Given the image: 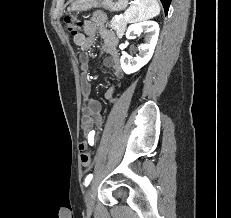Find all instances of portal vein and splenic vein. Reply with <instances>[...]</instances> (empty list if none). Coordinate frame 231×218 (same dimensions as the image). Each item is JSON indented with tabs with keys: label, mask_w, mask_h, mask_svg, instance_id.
Masks as SVG:
<instances>
[{
	"label": "portal vein and splenic vein",
	"mask_w": 231,
	"mask_h": 218,
	"mask_svg": "<svg viewBox=\"0 0 231 218\" xmlns=\"http://www.w3.org/2000/svg\"><path fill=\"white\" fill-rule=\"evenodd\" d=\"M121 17H122V16H118V15H117V16H115V19H116V20H119Z\"/></svg>",
	"instance_id": "18ae733b"
}]
</instances>
